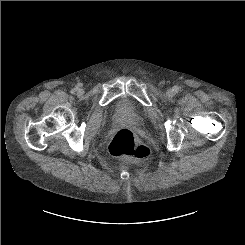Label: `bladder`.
<instances>
[{"instance_id":"obj_1","label":"bladder","mask_w":245,"mask_h":245,"mask_svg":"<svg viewBox=\"0 0 245 245\" xmlns=\"http://www.w3.org/2000/svg\"><path fill=\"white\" fill-rule=\"evenodd\" d=\"M114 113L121 118L140 119L141 115L128 100L121 99L114 106Z\"/></svg>"}]
</instances>
